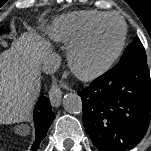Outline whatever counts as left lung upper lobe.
I'll use <instances>...</instances> for the list:
<instances>
[{
	"mask_svg": "<svg viewBox=\"0 0 151 151\" xmlns=\"http://www.w3.org/2000/svg\"><path fill=\"white\" fill-rule=\"evenodd\" d=\"M135 59L147 61L145 49L138 36H136L134 41L126 47L118 65Z\"/></svg>",
	"mask_w": 151,
	"mask_h": 151,
	"instance_id": "obj_1",
	"label": "left lung upper lobe"
}]
</instances>
